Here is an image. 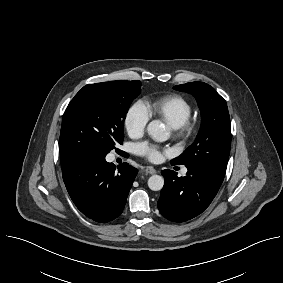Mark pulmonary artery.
Segmentation results:
<instances>
[{
    "mask_svg": "<svg viewBox=\"0 0 283 283\" xmlns=\"http://www.w3.org/2000/svg\"><path fill=\"white\" fill-rule=\"evenodd\" d=\"M186 172H187V169L184 168V169L182 170V173L185 174Z\"/></svg>",
    "mask_w": 283,
    "mask_h": 283,
    "instance_id": "pulmonary-artery-1",
    "label": "pulmonary artery"
}]
</instances>
